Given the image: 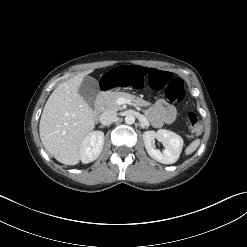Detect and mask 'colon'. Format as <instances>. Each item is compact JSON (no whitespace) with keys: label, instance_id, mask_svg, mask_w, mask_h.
<instances>
[{"label":"colon","instance_id":"colon-1","mask_svg":"<svg viewBox=\"0 0 247 247\" xmlns=\"http://www.w3.org/2000/svg\"><path fill=\"white\" fill-rule=\"evenodd\" d=\"M103 88L109 91L131 86H144L149 91H158L165 88L166 97L175 103L181 102L185 97L183 81L173 77L171 73L160 71L156 67H144L138 64L117 66L103 71L100 77ZM190 133L194 136L202 131V122L197 114L190 111L187 115Z\"/></svg>","mask_w":247,"mask_h":247}]
</instances>
